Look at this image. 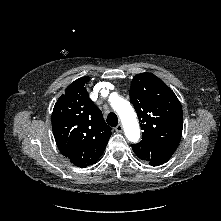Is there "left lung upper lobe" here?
Returning <instances> with one entry per match:
<instances>
[{
    "label": "left lung upper lobe",
    "instance_id": "obj_1",
    "mask_svg": "<svg viewBox=\"0 0 221 221\" xmlns=\"http://www.w3.org/2000/svg\"><path fill=\"white\" fill-rule=\"evenodd\" d=\"M130 100L137 112L142 140L132 145L134 153L152 166L170 159L177 149L183 129V111L174 92L151 73L136 75Z\"/></svg>",
    "mask_w": 221,
    "mask_h": 221
}]
</instances>
